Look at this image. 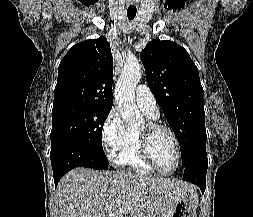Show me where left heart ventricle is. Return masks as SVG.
<instances>
[{"instance_id": "obj_1", "label": "left heart ventricle", "mask_w": 253, "mask_h": 217, "mask_svg": "<svg viewBox=\"0 0 253 217\" xmlns=\"http://www.w3.org/2000/svg\"><path fill=\"white\" fill-rule=\"evenodd\" d=\"M145 129V125L141 130ZM151 155L156 164L162 170H171L176 162V150L174 142L166 131L154 133L149 141Z\"/></svg>"}]
</instances>
